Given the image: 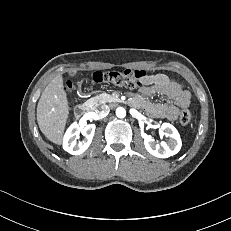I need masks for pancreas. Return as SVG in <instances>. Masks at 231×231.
I'll list each match as a JSON object with an SVG mask.
<instances>
[{
    "label": "pancreas",
    "mask_w": 231,
    "mask_h": 231,
    "mask_svg": "<svg viewBox=\"0 0 231 231\" xmlns=\"http://www.w3.org/2000/svg\"><path fill=\"white\" fill-rule=\"evenodd\" d=\"M92 100L98 105V104H103L106 102H112L113 101V96L102 93L96 97H93Z\"/></svg>",
    "instance_id": "cf45deb5"
}]
</instances>
